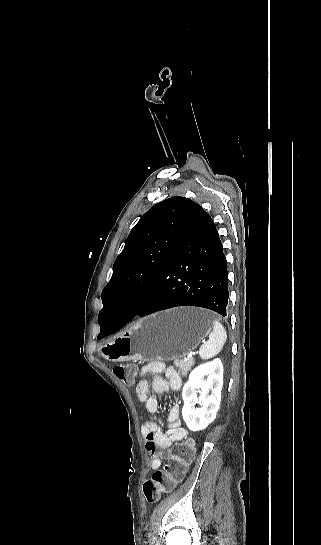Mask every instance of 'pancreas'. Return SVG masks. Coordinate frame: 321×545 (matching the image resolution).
Here are the masks:
<instances>
[{
    "mask_svg": "<svg viewBox=\"0 0 321 545\" xmlns=\"http://www.w3.org/2000/svg\"><path fill=\"white\" fill-rule=\"evenodd\" d=\"M194 363V359H180V361H174V365L175 367H178V373H180L182 377H187Z\"/></svg>",
    "mask_w": 321,
    "mask_h": 545,
    "instance_id": "obj_1",
    "label": "pancreas"
}]
</instances>
